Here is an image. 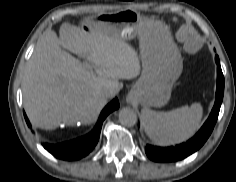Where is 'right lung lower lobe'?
Wrapping results in <instances>:
<instances>
[{
	"instance_id": "obj_1",
	"label": "right lung lower lobe",
	"mask_w": 236,
	"mask_h": 182,
	"mask_svg": "<svg viewBox=\"0 0 236 182\" xmlns=\"http://www.w3.org/2000/svg\"><path fill=\"white\" fill-rule=\"evenodd\" d=\"M118 107L119 102L118 99L115 98L103 109L96 127L89 134L81 138L60 144L54 145L45 143L43 144L44 148L49 151L53 156L63 160H77L86 156L87 154H89V152L93 150V148L98 142L102 122L108 114L116 110ZM24 116L28 126H30L29 120L26 117L25 113Z\"/></svg>"
}]
</instances>
